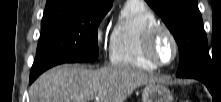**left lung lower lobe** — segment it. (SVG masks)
Listing matches in <instances>:
<instances>
[{
  "instance_id": "0a47b994",
  "label": "left lung lower lobe",
  "mask_w": 221,
  "mask_h": 102,
  "mask_svg": "<svg viewBox=\"0 0 221 102\" xmlns=\"http://www.w3.org/2000/svg\"><path fill=\"white\" fill-rule=\"evenodd\" d=\"M209 89L211 88L212 85V80L211 79H205L202 81Z\"/></svg>"
}]
</instances>
